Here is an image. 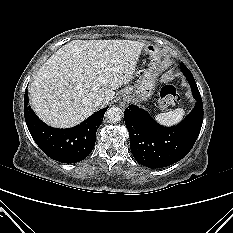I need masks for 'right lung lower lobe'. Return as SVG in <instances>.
Wrapping results in <instances>:
<instances>
[{"instance_id":"right-lung-lower-lobe-1","label":"right lung lower lobe","mask_w":233,"mask_h":233,"mask_svg":"<svg viewBox=\"0 0 233 233\" xmlns=\"http://www.w3.org/2000/svg\"><path fill=\"white\" fill-rule=\"evenodd\" d=\"M106 111L107 107L72 128H53L42 122L31 109L27 89L24 95V116L33 140L47 156L63 163L79 162L92 152L96 131Z\"/></svg>"}]
</instances>
